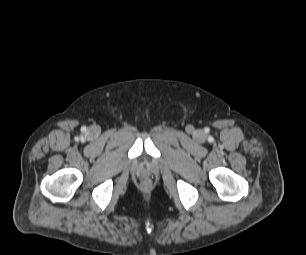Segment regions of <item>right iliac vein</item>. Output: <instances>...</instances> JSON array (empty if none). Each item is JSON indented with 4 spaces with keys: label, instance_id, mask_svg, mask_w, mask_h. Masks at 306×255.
<instances>
[{
    "label": "right iliac vein",
    "instance_id": "1",
    "mask_svg": "<svg viewBox=\"0 0 306 255\" xmlns=\"http://www.w3.org/2000/svg\"><path fill=\"white\" fill-rule=\"evenodd\" d=\"M91 132H92V134H94V135H95V134H97V133H98V130H97L96 128H92V129H91Z\"/></svg>",
    "mask_w": 306,
    "mask_h": 255
}]
</instances>
